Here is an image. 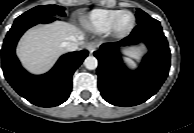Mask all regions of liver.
Listing matches in <instances>:
<instances>
[{
  "label": "liver",
  "mask_w": 194,
  "mask_h": 133,
  "mask_svg": "<svg viewBox=\"0 0 194 133\" xmlns=\"http://www.w3.org/2000/svg\"><path fill=\"white\" fill-rule=\"evenodd\" d=\"M83 32L76 26L64 21L39 25L29 29L17 47V56L23 66L33 74L47 72L65 52L62 43L66 41L83 44ZM142 49L131 47V56L139 55Z\"/></svg>",
  "instance_id": "1"
}]
</instances>
